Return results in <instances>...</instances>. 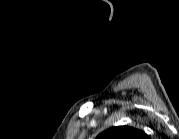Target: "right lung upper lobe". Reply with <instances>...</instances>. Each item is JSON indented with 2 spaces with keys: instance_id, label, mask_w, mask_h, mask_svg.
Returning <instances> with one entry per match:
<instances>
[{
  "instance_id": "right-lung-upper-lobe-1",
  "label": "right lung upper lobe",
  "mask_w": 179,
  "mask_h": 139,
  "mask_svg": "<svg viewBox=\"0 0 179 139\" xmlns=\"http://www.w3.org/2000/svg\"><path fill=\"white\" fill-rule=\"evenodd\" d=\"M146 134L130 126H117L107 129L97 139H145Z\"/></svg>"
}]
</instances>
